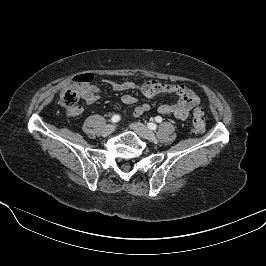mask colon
Segmentation results:
<instances>
[{"label": "colon", "instance_id": "obj_1", "mask_svg": "<svg viewBox=\"0 0 266 266\" xmlns=\"http://www.w3.org/2000/svg\"><path fill=\"white\" fill-rule=\"evenodd\" d=\"M92 80V75L85 74L74 78L70 84L61 92L60 102L68 111H73L79 101L81 95V87ZM204 111L201 108H196L193 112L191 129L193 134H201L205 131Z\"/></svg>", "mask_w": 266, "mask_h": 266}]
</instances>
